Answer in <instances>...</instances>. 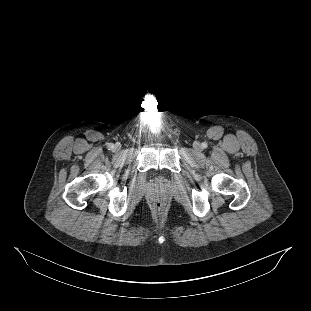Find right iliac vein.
Returning a JSON list of instances; mask_svg holds the SVG:
<instances>
[{"label":"right iliac vein","mask_w":311,"mask_h":311,"mask_svg":"<svg viewBox=\"0 0 311 311\" xmlns=\"http://www.w3.org/2000/svg\"><path fill=\"white\" fill-rule=\"evenodd\" d=\"M121 149V145L119 143H116L114 145V150L119 151Z\"/></svg>","instance_id":"63e3f726"}]
</instances>
